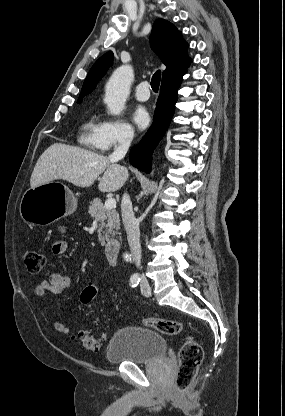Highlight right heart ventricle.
<instances>
[{"mask_svg":"<svg viewBox=\"0 0 285 416\" xmlns=\"http://www.w3.org/2000/svg\"><path fill=\"white\" fill-rule=\"evenodd\" d=\"M97 124L98 121L96 119V116L92 115L86 120V122L82 126V142L89 147H93L92 140L94 133L97 130Z\"/></svg>","mask_w":285,"mask_h":416,"instance_id":"obj_1","label":"right heart ventricle"}]
</instances>
